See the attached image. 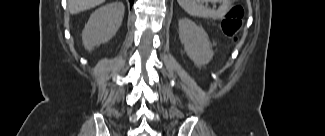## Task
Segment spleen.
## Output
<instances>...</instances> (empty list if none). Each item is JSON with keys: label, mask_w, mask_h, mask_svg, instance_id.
<instances>
[{"label": "spleen", "mask_w": 325, "mask_h": 136, "mask_svg": "<svg viewBox=\"0 0 325 136\" xmlns=\"http://www.w3.org/2000/svg\"><path fill=\"white\" fill-rule=\"evenodd\" d=\"M178 3L189 15L194 17L221 19L226 11L223 5L217 11L207 9L202 0H179Z\"/></svg>", "instance_id": "1"}]
</instances>
